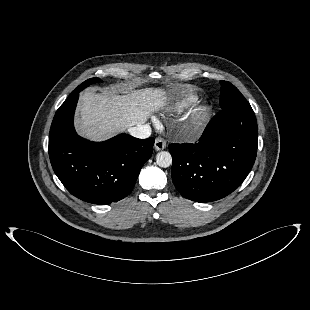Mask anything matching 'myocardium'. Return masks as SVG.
<instances>
[{"instance_id":"1","label":"myocardium","mask_w":310,"mask_h":310,"mask_svg":"<svg viewBox=\"0 0 310 310\" xmlns=\"http://www.w3.org/2000/svg\"><path fill=\"white\" fill-rule=\"evenodd\" d=\"M209 115V108L206 105H194L184 115L186 131L189 134L198 132L205 124Z\"/></svg>"}]
</instances>
